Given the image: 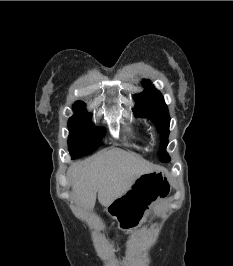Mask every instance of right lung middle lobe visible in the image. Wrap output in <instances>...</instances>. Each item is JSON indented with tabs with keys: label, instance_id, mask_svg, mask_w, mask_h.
I'll return each mask as SVG.
<instances>
[{
	"label": "right lung middle lobe",
	"instance_id": "obj_1",
	"mask_svg": "<svg viewBox=\"0 0 233 266\" xmlns=\"http://www.w3.org/2000/svg\"><path fill=\"white\" fill-rule=\"evenodd\" d=\"M73 109L75 114L68 121V146L72 159H76L96 150L102 144L105 131L91 125L92 114L86 112L84 103H75Z\"/></svg>",
	"mask_w": 233,
	"mask_h": 266
}]
</instances>
